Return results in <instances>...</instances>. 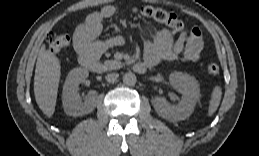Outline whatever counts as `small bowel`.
Listing matches in <instances>:
<instances>
[{"instance_id": "obj_1", "label": "small bowel", "mask_w": 259, "mask_h": 156, "mask_svg": "<svg viewBox=\"0 0 259 156\" xmlns=\"http://www.w3.org/2000/svg\"><path fill=\"white\" fill-rule=\"evenodd\" d=\"M116 12L113 5H105L100 10L89 14L81 22L74 33V47L80 57L91 55L98 58L109 47L122 45L121 36L105 41H95L102 30L103 22L111 18ZM147 35L144 43V62L148 66L160 62L198 61L201 57L204 42L199 28L194 27L189 36L181 33L175 40L173 33L167 28L142 27Z\"/></svg>"}]
</instances>
